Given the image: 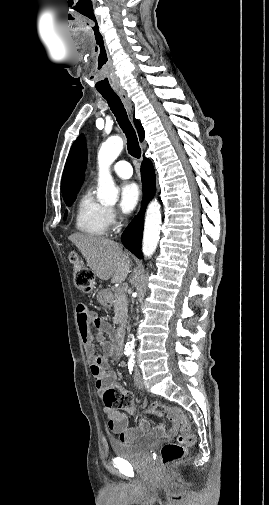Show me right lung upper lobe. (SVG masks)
Returning <instances> with one entry per match:
<instances>
[{
  "label": "right lung upper lobe",
  "mask_w": 269,
  "mask_h": 505,
  "mask_svg": "<svg viewBox=\"0 0 269 505\" xmlns=\"http://www.w3.org/2000/svg\"><path fill=\"white\" fill-rule=\"evenodd\" d=\"M140 141L145 133L141 123L134 119ZM87 151L83 136L76 139L70 149L62 177L61 191L64 201L76 195L84 180Z\"/></svg>",
  "instance_id": "1"
}]
</instances>
